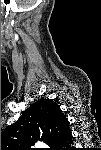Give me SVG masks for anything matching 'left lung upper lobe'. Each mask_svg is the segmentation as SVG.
<instances>
[{
	"mask_svg": "<svg viewBox=\"0 0 101 150\" xmlns=\"http://www.w3.org/2000/svg\"><path fill=\"white\" fill-rule=\"evenodd\" d=\"M62 111L51 100H40L29 107L21 118L6 128L1 136L2 144L10 147L28 146L35 142L39 127L50 135L62 137L67 130ZM32 137V138H31Z\"/></svg>",
	"mask_w": 101,
	"mask_h": 150,
	"instance_id": "1",
	"label": "left lung upper lobe"
}]
</instances>
